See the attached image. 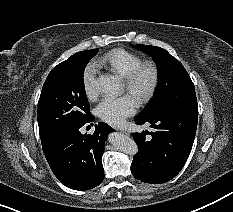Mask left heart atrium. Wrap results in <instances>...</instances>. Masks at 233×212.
<instances>
[{"mask_svg":"<svg viewBox=\"0 0 233 212\" xmlns=\"http://www.w3.org/2000/svg\"><path fill=\"white\" fill-rule=\"evenodd\" d=\"M136 108V100L130 95L106 97L97 106L96 113L104 122L120 126L127 117L135 113Z\"/></svg>","mask_w":233,"mask_h":212,"instance_id":"39dd6f15","label":"left heart atrium"}]
</instances>
